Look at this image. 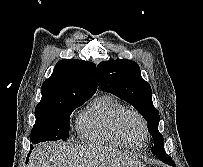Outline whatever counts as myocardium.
I'll return each instance as SVG.
<instances>
[{"instance_id": "f54148a6", "label": "myocardium", "mask_w": 203, "mask_h": 167, "mask_svg": "<svg viewBox=\"0 0 203 167\" xmlns=\"http://www.w3.org/2000/svg\"><path fill=\"white\" fill-rule=\"evenodd\" d=\"M129 115H133V116L137 117L139 119V121L142 123L143 131H144V139H143V142L140 145L133 144L129 140V138L127 137V135H126V133H125V131L123 129V121ZM116 129H117L119 135L130 146H132L134 148H139V147L145 145L147 140H148V137H149V128H148L147 120L145 119V117L139 111H137L135 109H125L120 113V115L118 116L117 121H116Z\"/></svg>"}]
</instances>
